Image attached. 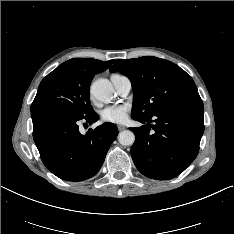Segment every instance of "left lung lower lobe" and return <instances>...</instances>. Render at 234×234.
<instances>
[{
    "label": "left lung lower lobe",
    "mask_w": 234,
    "mask_h": 234,
    "mask_svg": "<svg viewBox=\"0 0 234 234\" xmlns=\"http://www.w3.org/2000/svg\"><path fill=\"white\" fill-rule=\"evenodd\" d=\"M204 106L194 98L135 120L146 125L131 128L135 142L131 156L137 169L156 180L178 176L196 158L204 132ZM152 118L154 125H151ZM134 119V118H133ZM151 128L154 132H150Z\"/></svg>",
    "instance_id": "0a47b994"
}]
</instances>
